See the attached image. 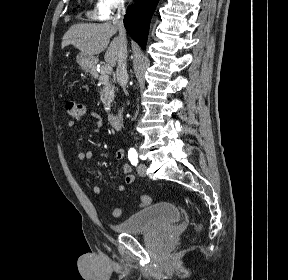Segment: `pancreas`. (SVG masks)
<instances>
[{
	"label": "pancreas",
	"mask_w": 288,
	"mask_h": 280,
	"mask_svg": "<svg viewBox=\"0 0 288 280\" xmlns=\"http://www.w3.org/2000/svg\"><path fill=\"white\" fill-rule=\"evenodd\" d=\"M99 83L101 85L100 99L104 104L105 111H109L111 103L114 100V85L111 82L109 75L103 71V68H101L100 71Z\"/></svg>",
	"instance_id": "1"
}]
</instances>
